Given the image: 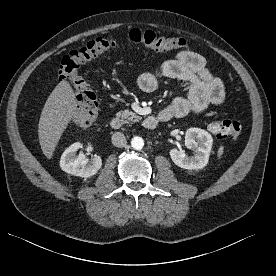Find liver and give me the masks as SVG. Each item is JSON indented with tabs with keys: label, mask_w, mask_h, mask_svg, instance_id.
<instances>
[{
	"label": "liver",
	"mask_w": 276,
	"mask_h": 276,
	"mask_svg": "<svg viewBox=\"0 0 276 276\" xmlns=\"http://www.w3.org/2000/svg\"><path fill=\"white\" fill-rule=\"evenodd\" d=\"M77 101L68 81H61L48 97L38 124L39 143L43 154L51 159L68 124L77 114Z\"/></svg>",
	"instance_id": "1"
}]
</instances>
